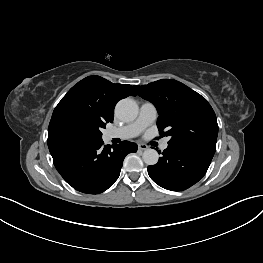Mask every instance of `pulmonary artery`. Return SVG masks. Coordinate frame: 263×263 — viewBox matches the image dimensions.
<instances>
[{
    "label": "pulmonary artery",
    "instance_id": "obj_1",
    "mask_svg": "<svg viewBox=\"0 0 263 263\" xmlns=\"http://www.w3.org/2000/svg\"><path fill=\"white\" fill-rule=\"evenodd\" d=\"M157 115L156 107L150 102H145L141 105L138 117L135 121L120 128L107 130L105 132V137L107 139L118 138L123 140L134 138L150 126L156 120ZM167 148L168 140H165L161 144V149L165 150Z\"/></svg>",
    "mask_w": 263,
    "mask_h": 263
}]
</instances>
